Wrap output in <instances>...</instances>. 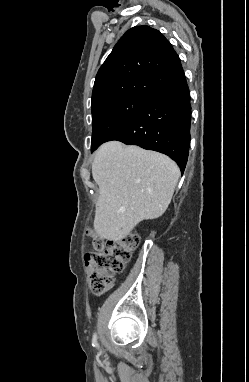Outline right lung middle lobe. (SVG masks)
I'll return each instance as SVG.
<instances>
[{"label":"right lung middle lobe","instance_id":"obj_1","mask_svg":"<svg viewBox=\"0 0 249 382\" xmlns=\"http://www.w3.org/2000/svg\"><path fill=\"white\" fill-rule=\"evenodd\" d=\"M148 100L141 96H127L93 109L91 151L130 123Z\"/></svg>","mask_w":249,"mask_h":382}]
</instances>
